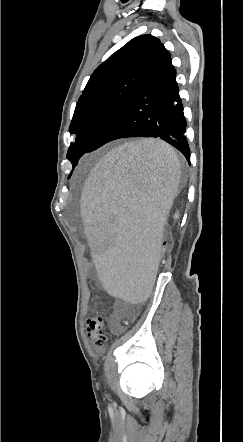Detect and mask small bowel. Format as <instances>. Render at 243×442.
Listing matches in <instances>:
<instances>
[{
	"label": "small bowel",
	"instance_id": "c3829d8e",
	"mask_svg": "<svg viewBox=\"0 0 243 442\" xmlns=\"http://www.w3.org/2000/svg\"><path fill=\"white\" fill-rule=\"evenodd\" d=\"M120 315H121V313H116L115 314V316H114V319H113V321H114V324H113V327H112V330L114 331V332H116L117 330H118V328H117V326H116V321L119 319V317H120Z\"/></svg>",
	"mask_w": 243,
	"mask_h": 442
}]
</instances>
